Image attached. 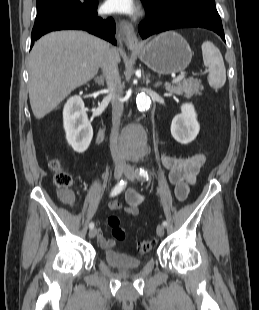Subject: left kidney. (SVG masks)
<instances>
[{
	"instance_id": "obj_1",
	"label": "left kidney",
	"mask_w": 259,
	"mask_h": 310,
	"mask_svg": "<svg viewBox=\"0 0 259 310\" xmlns=\"http://www.w3.org/2000/svg\"><path fill=\"white\" fill-rule=\"evenodd\" d=\"M199 130L200 125L193 104H183L181 114L176 115L171 123L173 138L180 144H189L197 137Z\"/></svg>"
}]
</instances>
